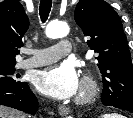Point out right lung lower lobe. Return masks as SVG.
Segmentation results:
<instances>
[{
	"instance_id": "98d812e1",
	"label": "right lung lower lobe",
	"mask_w": 133,
	"mask_h": 118,
	"mask_svg": "<svg viewBox=\"0 0 133 118\" xmlns=\"http://www.w3.org/2000/svg\"><path fill=\"white\" fill-rule=\"evenodd\" d=\"M0 105L12 107L26 113H35L38 100L26 82L16 86L0 88Z\"/></svg>"
}]
</instances>
